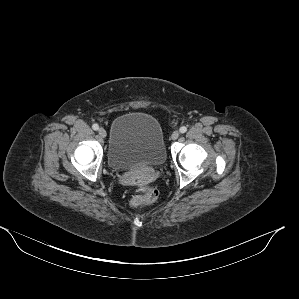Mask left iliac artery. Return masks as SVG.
I'll return each mask as SVG.
<instances>
[{
    "label": "left iliac artery",
    "instance_id": "44dca946",
    "mask_svg": "<svg viewBox=\"0 0 299 299\" xmlns=\"http://www.w3.org/2000/svg\"><path fill=\"white\" fill-rule=\"evenodd\" d=\"M179 131H180L181 133H185V132L187 131V128H186L185 126H182V127L179 129Z\"/></svg>",
    "mask_w": 299,
    "mask_h": 299
}]
</instances>
